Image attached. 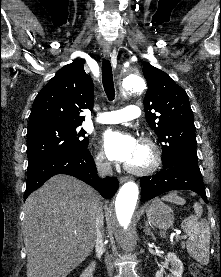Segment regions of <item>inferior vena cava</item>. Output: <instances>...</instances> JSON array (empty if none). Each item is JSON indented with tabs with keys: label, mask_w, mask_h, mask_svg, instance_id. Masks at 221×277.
<instances>
[{
	"label": "inferior vena cava",
	"mask_w": 221,
	"mask_h": 277,
	"mask_svg": "<svg viewBox=\"0 0 221 277\" xmlns=\"http://www.w3.org/2000/svg\"><path fill=\"white\" fill-rule=\"evenodd\" d=\"M97 169L100 177L112 176L113 171L110 162H98ZM104 216L102 207L97 211L96 222H95V243L96 249H103V236H104ZM105 263L109 275H112L113 266L111 263V258L108 254L105 255Z\"/></svg>",
	"instance_id": "1"
}]
</instances>
